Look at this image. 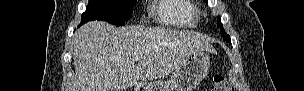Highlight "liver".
Masks as SVG:
<instances>
[{"label":"liver","mask_w":304,"mask_h":91,"mask_svg":"<svg viewBox=\"0 0 304 91\" xmlns=\"http://www.w3.org/2000/svg\"><path fill=\"white\" fill-rule=\"evenodd\" d=\"M73 41L75 77L70 91H126L139 80L176 71L196 51L215 52L207 38L195 32L115 28L100 21L83 25ZM136 56L139 61H134Z\"/></svg>","instance_id":"1"}]
</instances>
